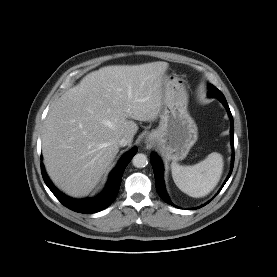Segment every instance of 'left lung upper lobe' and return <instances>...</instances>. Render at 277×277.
<instances>
[{
    "mask_svg": "<svg viewBox=\"0 0 277 277\" xmlns=\"http://www.w3.org/2000/svg\"><path fill=\"white\" fill-rule=\"evenodd\" d=\"M208 88H209L208 96L217 98L220 101L226 100L223 93L220 90H218L215 86H213L212 84H209Z\"/></svg>",
    "mask_w": 277,
    "mask_h": 277,
    "instance_id": "5c2ea615",
    "label": "left lung upper lobe"
}]
</instances>
